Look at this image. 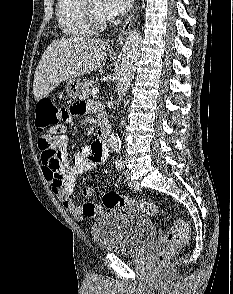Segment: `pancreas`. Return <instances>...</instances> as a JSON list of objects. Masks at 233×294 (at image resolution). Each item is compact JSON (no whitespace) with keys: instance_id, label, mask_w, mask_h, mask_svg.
Segmentation results:
<instances>
[{"instance_id":"pancreas-1","label":"pancreas","mask_w":233,"mask_h":294,"mask_svg":"<svg viewBox=\"0 0 233 294\" xmlns=\"http://www.w3.org/2000/svg\"><path fill=\"white\" fill-rule=\"evenodd\" d=\"M81 94L83 99H87L91 95V86L89 81H84L82 84Z\"/></svg>"}]
</instances>
